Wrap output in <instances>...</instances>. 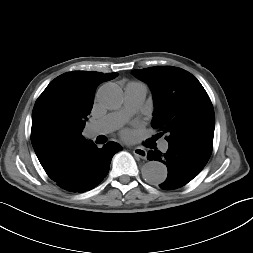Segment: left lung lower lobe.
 Listing matches in <instances>:
<instances>
[{
    "label": "left lung lower lobe",
    "instance_id": "left-lung-lower-lobe-1",
    "mask_svg": "<svg viewBox=\"0 0 253 253\" xmlns=\"http://www.w3.org/2000/svg\"><path fill=\"white\" fill-rule=\"evenodd\" d=\"M211 152L185 143H169L165 154L150 151L149 160L160 161L168 168L167 179L159 186L165 190L179 188L191 181L206 165Z\"/></svg>",
    "mask_w": 253,
    "mask_h": 253
}]
</instances>
